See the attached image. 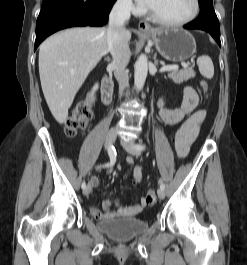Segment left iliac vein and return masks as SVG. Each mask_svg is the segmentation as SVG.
<instances>
[{"mask_svg":"<svg viewBox=\"0 0 247 265\" xmlns=\"http://www.w3.org/2000/svg\"><path fill=\"white\" fill-rule=\"evenodd\" d=\"M121 144L123 146V148L130 154L138 157L140 155V150H138L136 147H135V143L133 141H121ZM158 197L160 199H164L165 197V191L163 189H158Z\"/></svg>","mask_w":247,"mask_h":265,"instance_id":"4c4485c4","label":"left iliac vein"}]
</instances>
